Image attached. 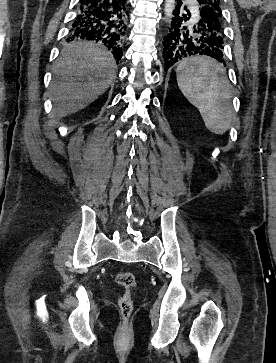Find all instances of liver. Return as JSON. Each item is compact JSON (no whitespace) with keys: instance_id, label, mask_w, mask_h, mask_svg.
<instances>
[{"instance_id":"obj_1","label":"liver","mask_w":276,"mask_h":363,"mask_svg":"<svg viewBox=\"0 0 276 363\" xmlns=\"http://www.w3.org/2000/svg\"><path fill=\"white\" fill-rule=\"evenodd\" d=\"M115 69L112 55L100 44L75 41L66 45L53 67L54 115L65 117L97 99L111 84Z\"/></svg>"}]
</instances>
